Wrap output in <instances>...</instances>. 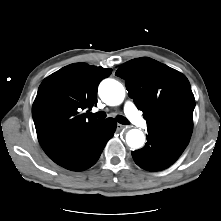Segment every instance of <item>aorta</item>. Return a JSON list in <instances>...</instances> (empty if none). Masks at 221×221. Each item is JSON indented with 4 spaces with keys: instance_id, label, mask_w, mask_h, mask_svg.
I'll use <instances>...</instances> for the list:
<instances>
[{
    "instance_id": "aorta-1",
    "label": "aorta",
    "mask_w": 221,
    "mask_h": 221,
    "mask_svg": "<svg viewBox=\"0 0 221 221\" xmlns=\"http://www.w3.org/2000/svg\"><path fill=\"white\" fill-rule=\"evenodd\" d=\"M99 96L108 105H119L124 100L125 89L120 82L105 79L99 85ZM126 142L133 149L141 148L145 142L144 133L139 129H131L126 134Z\"/></svg>"
}]
</instances>
